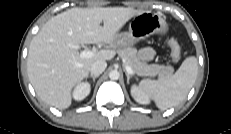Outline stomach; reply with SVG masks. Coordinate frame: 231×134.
I'll list each match as a JSON object with an SVG mask.
<instances>
[{"label":"stomach","instance_id":"1","mask_svg":"<svg viewBox=\"0 0 231 134\" xmlns=\"http://www.w3.org/2000/svg\"><path fill=\"white\" fill-rule=\"evenodd\" d=\"M167 31L168 24L164 17L156 12L144 11L132 19L128 32L116 36L114 44L118 49H122L133 46L153 34H165Z\"/></svg>","mask_w":231,"mask_h":134}]
</instances>
